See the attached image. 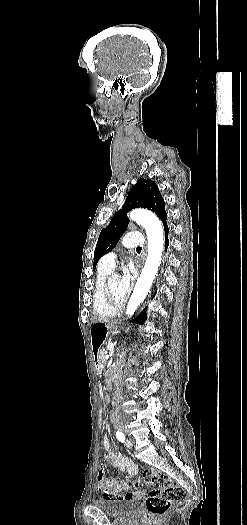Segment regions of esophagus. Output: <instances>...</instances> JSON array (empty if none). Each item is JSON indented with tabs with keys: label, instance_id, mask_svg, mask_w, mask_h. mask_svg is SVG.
<instances>
[{
	"label": "esophagus",
	"instance_id": "34e87169",
	"mask_svg": "<svg viewBox=\"0 0 247 525\" xmlns=\"http://www.w3.org/2000/svg\"><path fill=\"white\" fill-rule=\"evenodd\" d=\"M145 264H142V266H139V273H142L144 271Z\"/></svg>",
	"mask_w": 247,
	"mask_h": 525
}]
</instances>
